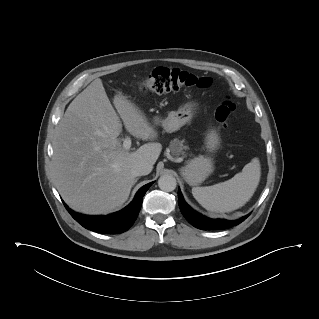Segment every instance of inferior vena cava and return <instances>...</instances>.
<instances>
[{"instance_id": "obj_1", "label": "inferior vena cava", "mask_w": 319, "mask_h": 319, "mask_svg": "<svg viewBox=\"0 0 319 319\" xmlns=\"http://www.w3.org/2000/svg\"><path fill=\"white\" fill-rule=\"evenodd\" d=\"M152 171V166L146 161H138L132 164L131 172L135 176L147 175Z\"/></svg>"}]
</instances>
